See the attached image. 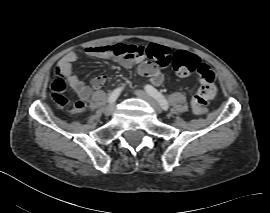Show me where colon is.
I'll return each instance as SVG.
<instances>
[{"label":"colon","instance_id":"colon-1","mask_svg":"<svg viewBox=\"0 0 270 213\" xmlns=\"http://www.w3.org/2000/svg\"><path fill=\"white\" fill-rule=\"evenodd\" d=\"M111 47L119 56L146 57L145 48L143 46L117 43ZM163 64L164 66L172 65L178 77H185L194 71L197 73L200 78L201 86L192 98L191 107L195 114H203L207 109L209 101L216 93L215 75L212 69L207 64L202 63L198 56L185 51L176 52L171 59V63L165 61ZM51 88L53 91L52 99L57 104L65 106L67 101L60 88V82L55 80ZM74 108L83 109L84 104L79 101L75 102L72 104V109Z\"/></svg>","mask_w":270,"mask_h":213}]
</instances>
